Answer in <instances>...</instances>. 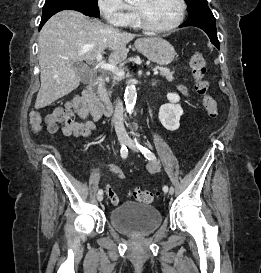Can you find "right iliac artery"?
Instances as JSON below:
<instances>
[{
	"label": "right iliac artery",
	"mask_w": 261,
	"mask_h": 273,
	"mask_svg": "<svg viewBox=\"0 0 261 273\" xmlns=\"http://www.w3.org/2000/svg\"><path fill=\"white\" fill-rule=\"evenodd\" d=\"M120 153H121V157L123 159L127 158V155H128V149H127V147L126 146H122L121 150H120ZM98 194H103V190L99 189L98 190Z\"/></svg>",
	"instance_id": "82829eb1"
}]
</instances>
